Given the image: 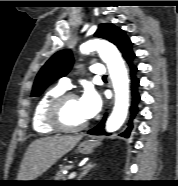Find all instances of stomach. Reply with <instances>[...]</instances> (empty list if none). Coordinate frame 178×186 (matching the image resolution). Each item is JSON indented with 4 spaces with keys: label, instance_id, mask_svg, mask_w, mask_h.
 <instances>
[{
    "label": "stomach",
    "instance_id": "obj_1",
    "mask_svg": "<svg viewBox=\"0 0 178 186\" xmlns=\"http://www.w3.org/2000/svg\"><path fill=\"white\" fill-rule=\"evenodd\" d=\"M99 146V142L95 139H86L78 145V151L81 154H90L93 150ZM31 181H40V180H31ZM29 185H40L39 182H31Z\"/></svg>",
    "mask_w": 178,
    "mask_h": 186
}]
</instances>
